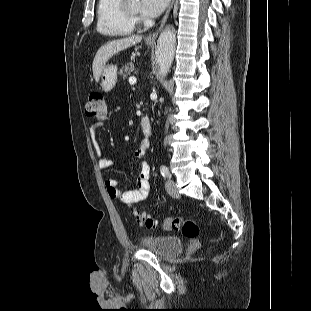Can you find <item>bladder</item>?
<instances>
[{
	"label": "bladder",
	"instance_id": "bladder-1",
	"mask_svg": "<svg viewBox=\"0 0 311 311\" xmlns=\"http://www.w3.org/2000/svg\"><path fill=\"white\" fill-rule=\"evenodd\" d=\"M140 245L159 256L168 257L182 249L183 241L177 236L146 235L140 239Z\"/></svg>",
	"mask_w": 311,
	"mask_h": 311
}]
</instances>
